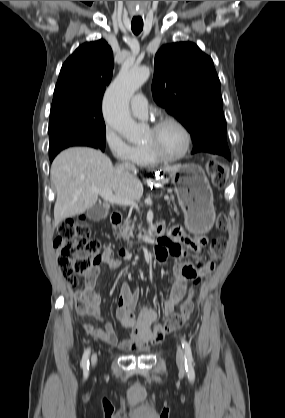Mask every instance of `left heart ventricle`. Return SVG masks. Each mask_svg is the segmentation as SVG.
Returning <instances> with one entry per match:
<instances>
[{"mask_svg":"<svg viewBox=\"0 0 285 418\" xmlns=\"http://www.w3.org/2000/svg\"><path fill=\"white\" fill-rule=\"evenodd\" d=\"M143 144L155 148L159 153L166 157L178 155L184 146V135L182 131L173 124L162 126L159 130L148 131Z\"/></svg>","mask_w":285,"mask_h":418,"instance_id":"1","label":"left heart ventricle"}]
</instances>
